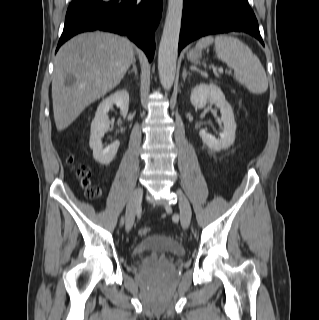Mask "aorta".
Listing matches in <instances>:
<instances>
[{
    "label": "aorta",
    "instance_id": "762f6f07",
    "mask_svg": "<svg viewBox=\"0 0 319 320\" xmlns=\"http://www.w3.org/2000/svg\"><path fill=\"white\" fill-rule=\"evenodd\" d=\"M183 0H168L166 19L158 52V71L162 87L169 90L174 82Z\"/></svg>",
    "mask_w": 319,
    "mask_h": 320
}]
</instances>
